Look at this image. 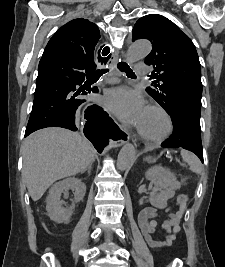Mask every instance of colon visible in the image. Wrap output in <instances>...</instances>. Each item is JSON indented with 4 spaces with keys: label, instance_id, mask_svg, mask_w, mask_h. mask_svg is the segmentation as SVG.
I'll return each instance as SVG.
<instances>
[{
    "label": "colon",
    "instance_id": "1",
    "mask_svg": "<svg viewBox=\"0 0 225 267\" xmlns=\"http://www.w3.org/2000/svg\"><path fill=\"white\" fill-rule=\"evenodd\" d=\"M187 202H188V198H182L181 201H180L179 206H180L181 209H183V211H184V209H185V207L187 205Z\"/></svg>",
    "mask_w": 225,
    "mask_h": 267
}]
</instances>
